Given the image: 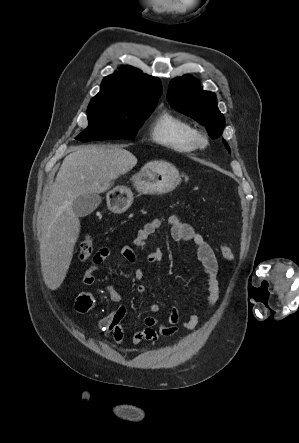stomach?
<instances>
[{
    "label": "stomach",
    "instance_id": "obj_1",
    "mask_svg": "<svg viewBox=\"0 0 299 443\" xmlns=\"http://www.w3.org/2000/svg\"><path fill=\"white\" fill-rule=\"evenodd\" d=\"M136 190L142 194H164L171 192L180 183L178 170L166 162H151L133 176ZM133 193L124 186H117L107 193L108 208L114 213L126 211L133 202Z\"/></svg>",
    "mask_w": 299,
    "mask_h": 443
}]
</instances>
